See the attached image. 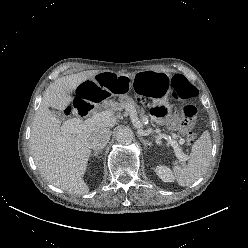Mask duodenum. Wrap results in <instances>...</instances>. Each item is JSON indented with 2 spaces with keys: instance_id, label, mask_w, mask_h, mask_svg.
Wrapping results in <instances>:
<instances>
[{
  "instance_id": "1",
  "label": "duodenum",
  "mask_w": 248,
  "mask_h": 248,
  "mask_svg": "<svg viewBox=\"0 0 248 248\" xmlns=\"http://www.w3.org/2000/svg\"><path fill=\"white\" fill-rule=\"evenodd\" d=\"M94 106H92L90 103L88 104H81V103H76L75 104V111L77 114L81 116H87L93 111Z\"/></svg>"
}]
</instances>
